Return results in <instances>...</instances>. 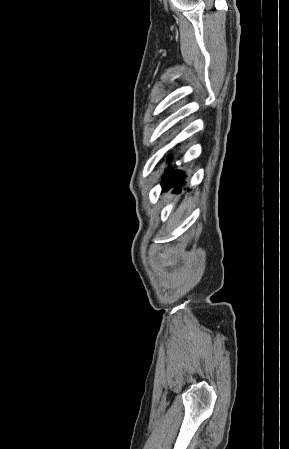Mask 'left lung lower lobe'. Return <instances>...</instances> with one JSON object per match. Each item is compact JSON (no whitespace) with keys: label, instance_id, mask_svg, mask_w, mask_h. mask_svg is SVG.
<instances>
[{"label":"left lung lower lobe","instance_id":"1","mask_svg":"<svg viewBox=\"0 0 289 449\" xmlns=\"http://www.w3.org/2000/svg\"><path fill=\"white\" fill-rule=\"evenodd\" d=\"M172 161V156L169 155L167 157V162ZM184 173L180 170L174 171L173 168H167L165 173L162 176L161 186L162 189L167 191L171 187H174V192H180L181 191V185L185 184L184 181Z\"/></svg>","mask_w":289,"mask_h":449}]
</instances>
